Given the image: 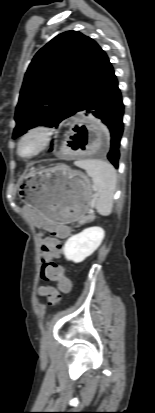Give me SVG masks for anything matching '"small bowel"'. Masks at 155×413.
<instances>
[{"label": "small bowel", "mask_w": 155, "mask_h": 413, "mask_svg": "<svg viewBox=\"0 0 155 413\" xmlns=\"http://www.w3.org/2000/svg\"><path fill=\"white\" fill-rule=\"evenodd\" d=\"M21 211L28 218H33L32 224L34 227H37L38 231H53L52 234L57 237H67L71 233V229L68 226H60L59 222H48L43 214H38L34 205H23ZM53 290H55L53 287L41 286L39 294L47 296Z\"/></svg>", "instance_id": "obj_1"}]
</instances>
